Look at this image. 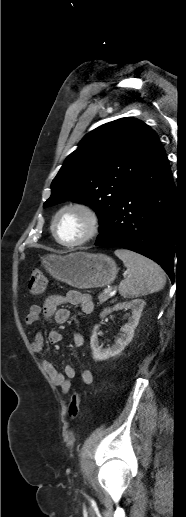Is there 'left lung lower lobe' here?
<instances>
[{
	"label": "left lung lower lobe",
	"mask_w": 186,
	"mask_h": 517,
	"mask_svg": "<svg viewBox=\"0 0 186 517\" xmlns=\"http://www.w3.org/2000/svg\"><path fill=\"white\" fill-rule=\"evenodd\" d=\"M176 188L164 148L115 207L95 245L116 246L157 262L174 281Z\"/></svg>",
	"instance_id": "left-lung-lower-lobe-1"
}]
</instances>
